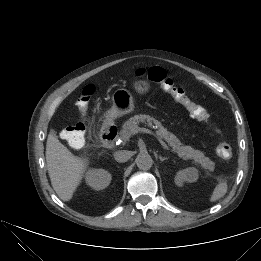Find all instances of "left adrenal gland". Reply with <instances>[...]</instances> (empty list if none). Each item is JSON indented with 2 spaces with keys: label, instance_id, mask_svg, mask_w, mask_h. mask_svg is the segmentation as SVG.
Wrapping results in <instances>:
<instances>
[{
  "label": "left adrenal gland",
  "instance_id": "1",
  "mask_svg": "<svg viewBox=\"0 0 261 261\" xmlns=\"http://www.w3.org/2000/svg\"><path fill=\"white\" fill-rule=\"evenodd\" d=\"M160 160L163 162L166 160V158L160 157Z\"/></svg>",
  "mask_w": 261,
  "mask_h": 261
}]
</instances>
